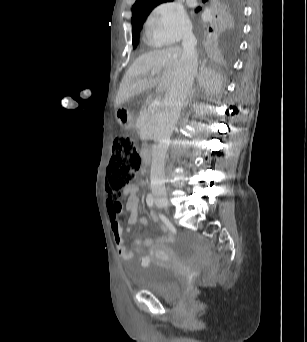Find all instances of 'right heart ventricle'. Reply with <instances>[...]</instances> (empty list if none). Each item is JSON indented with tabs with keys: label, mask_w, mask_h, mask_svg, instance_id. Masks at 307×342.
I'll return each mask as SVG.
<instances>
[{
	"label": "right heart ventricle",
	"mask_w": 307,
	"mask_h": 342,
	"mask_svg": "<svg viewBox=\"0 0 307 342\" xmlns=\"http://www.w3.org/2000/svg\"><path fill=\"white\" fill-rule=\"evenodd\" d=\"M141 42L143 44V51L146 53L157 51L159 46L144 35L141 36Z\"/></svg>",
	"instance_id": "e07e8e85"
}]
</instances>
